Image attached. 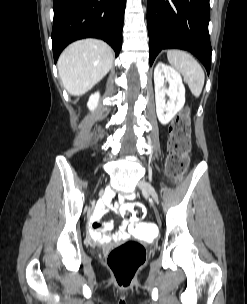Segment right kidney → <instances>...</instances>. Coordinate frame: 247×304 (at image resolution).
<instances>
[{
	"label": "right kidney",
	"mask_w": 247,
	"mask_h": 304,
	"mask_svg": "<svg viewBox=\"0 0 247 304\" xmlns=\"http://www.w3.org/2000/svg\"><path fill=\"white\" fill-rule=\"evenodd\" d=\"M99 98H100L99 92H96L89 97L87 106L91 111H93L97 107Z\"/></svg>",
	"instance_id": "1"
}]
</instances>
